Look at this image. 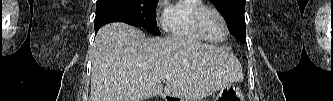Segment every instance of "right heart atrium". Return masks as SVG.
<instances>
[{"instance_id":"1","label":"right heart atrium","mask_w":333,"mask_h":101,"mask_svg":"<svg viewBox=\"0 0 333 101\" xmlns=\"http://www.w3.org/2000/svg\"><path fill=\"white\" fill-rule=\"evenodd\" d=\"M164 6V3L163 1H159V7H158V17H159V23L162 25V26H165V21H166V10L163 8Z\"/></svg>"}]
</instances>
